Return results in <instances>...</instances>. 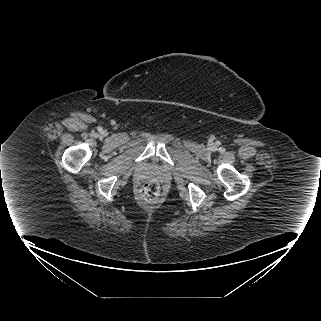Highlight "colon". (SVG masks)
I'll return each mask as SVG.
<instances>
[{"label":"colon","mask_w":321,"mask_h":321,"mask_svg":"<svg viewBox=\"0 0 321 321\" xmlns=\"http://www.w3.org/2000/svg\"><path fill=\"white\" fill-rule=\"evenodd\" d=\"M140 195L146 202H154L160 195V186L156 181H149L142 185Z\"/></svg>","instance_id":"5ec220e1"}]
</instances>
